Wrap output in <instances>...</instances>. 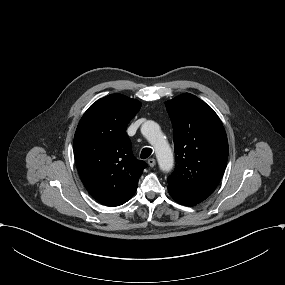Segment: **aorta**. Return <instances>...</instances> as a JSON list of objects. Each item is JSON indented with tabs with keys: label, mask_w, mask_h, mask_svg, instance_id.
<instances>
[{
	"label": "aorta",
	"mask_w": 285,
	"mask_h": 285,
	"mask_svg": "<svg viewBox=\"0 0 285 285\" xmlns=\"http://www.w3.org/2000/svg\"><path fill=\"white\" fill-rule=\"evenodd\" d=\"M141 132L154 147L160 168L169 171L173 167V154L159 126L153 121H148L142 125Z\"/></svg>",
	"instance_id": "aorta-1"
}]
</instances>
